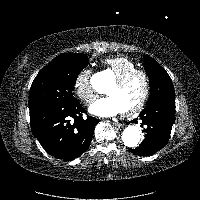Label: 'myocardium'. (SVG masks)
Masks as SVG:
<instances>
[{
	"label": "myocardium",
	"mask_w": 200,
	"mask_h": 200,
	"mask_svg": "<svg viewBox=\"0 0 200 200\" xmlns=\"http://www.w3.org/2000/svg\"><path fill=\"white\" fill-rule=\"evenodd\" d=\"M136 76H141L143 78L144 92H143L141 99L138 101L137 104H135L133 107L123 111V114L126 116H131V115H134V114L140 112L146 105L149 95H150V90H151L150 78L144 70L135 69L133 71H130V72L124 74L123 76L117 78L114 81V84L117 87H121V86H124L126 83H128L131 79H133Z\"/></svg>",
	"instance_id": "f54148a6"
}]
</instances>
